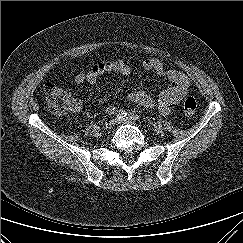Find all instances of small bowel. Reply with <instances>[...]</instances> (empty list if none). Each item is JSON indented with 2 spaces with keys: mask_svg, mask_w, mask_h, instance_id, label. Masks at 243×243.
Returning a JSON list of instances; mask_svg holds the SVG:
<instances>
[{
  "mask_svg": "<svg viewBox=\"0 0 243 243\" xmlns=\"http://www.w3.org/2000/svg\"><path fill=\"white\" fill-rule=\"evenodd\" d=\"M142 68L168 80L172 84L171 87L163 90L156 102L143 90L131 92L125 96V99L148 109L156 105L162 114H169L171 106L178 104L188 93L190 87L189 79L180 71L165 68L163 63L157 58L145 59L142 62ZM130 72L131 67L124 60L100 62L93 65L88 72L77 74L74 78V84L81 85L85 82L95 84L101 76L113 73L128 75ZM116 108V105H110L107 107L106 112L112 114L116 111Z\"/></svg>",
  "mask_w": 243,
  "mask_h": 243,
  "instance_id": "c3829d8e",
  "label": "small bowel"
}]
</instances>
